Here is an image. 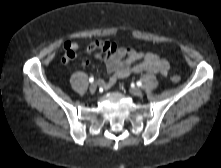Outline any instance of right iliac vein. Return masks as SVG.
I'll use <instances>...</instances> for the list:
<instances>
[{
    "label": "right iliac vein",
    "instance_id": "obj_1",
    "mask_svg": "<svg viewBox=\"0 0 221 168\" xmlns=\"http://www.w3.org/2000/svg\"><path fill=\"white\" fill-rule=\"evenodd\" d=\"M96 89H97V86L94 83L91 84L90 87H89V90H90L91 93H95Z\"/></svg>",
    "mask_w": 221,
    "mask_h": 168
}]
</instances>
